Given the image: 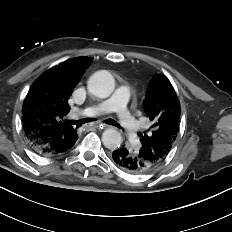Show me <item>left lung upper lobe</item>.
Returning <instances> with one entry per match:
<instances>
[{
  "instance_id": "left-lung-upper-lobe-1",
  "label": "left lung upper lobe",
  "mask_w": 232,
  "mask_h": 232,
  "mask_svg": "<svg viewBox=\"0 0 232 232\" xmlns=\"http://www.w3.org/2000/svg\"><path fill=\"white\" fill-rule=\"evenodd\" d=\"M143 107L152 125L139 134L141 148L138 153L157 166L176 141L181 114L177 94L165 75L158 74L150 81Z\"/></svg>"
}]
</instances>
